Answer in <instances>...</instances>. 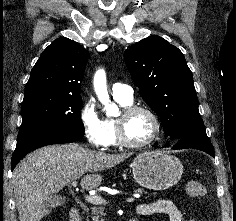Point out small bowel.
<instances>
[{"instance_id": "obj_1", "label": "small bowel", "mask_w": 236, "mask_h": 221, "mask_svg": "<svg viewBox=\"0 0 236 221\" xmlns=\"http://www.w3.org/2000/svg\"><path fill=\"white\" fill-rule=\"evenodd\" d=\"M136 212L140 216L162 214L166 215L170 221H183L181 211L175 206L172 201L165 199L157 200L150 203L139 204L136 208Z\"/></svg>"}]
</instances>
